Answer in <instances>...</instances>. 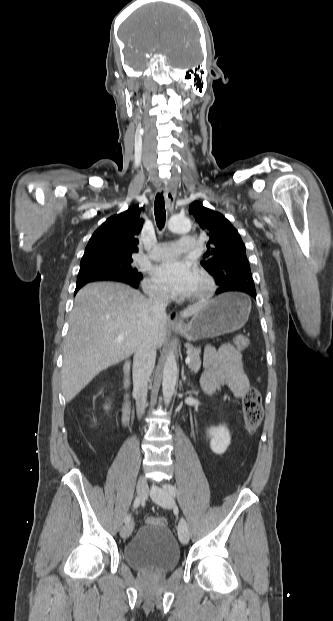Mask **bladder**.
<instances>
[{
  "label": "bladder",
  "mask_w": 333,
  "mask_h": 621,
  "mask_svg": "<svg viewBox=\"0 0 333 621\" xmlns=\"http://www.w3.org/2000/svg\"><path fill=\"white\" fill-rule=\"evenodd\" d=\"M123 558L132 568L149 573H165L180 560V549L166 526L146 524L125 544Z\"/></svg>",
  "instance_id": "obj_1"
}]
</instances>
